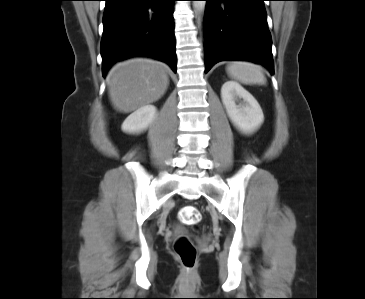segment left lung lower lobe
Masks as SVG:
<instances>
[{
	"label": "left lung lower lobe",
	"mask_w": 365,
	"mask_h": 299,
	"mask_svg": "<svg viewBox=\"0 0 365 299\" xmlns=\"http://www.w3.org/2000/svg\"><path fill=\"white\" fill-rule=\"evenodd\" d=\"M205 73L220 61L247 60L274 73L265 0H205Z\"/></svg>",
	"instance_id": "0a47b994"
}]
</instances>
